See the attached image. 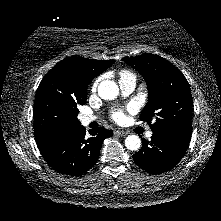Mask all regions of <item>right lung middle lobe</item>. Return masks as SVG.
Segmentation results:
<instances>
[{
	"label": "right lung middle lobe",
	"mask_w": 221,
	"mask_h": 221,
	"mask_svg": "<svg viewBox=\"0 0 221 221\" xmlns=\"http://www.w3.org/2000/svg\"><path fill=\"white\" fill-rule=\"evenodd\" d=\"M86 103V96L73 98L53 91L35 97L34 132L42 137H52L79 125L78 106Z\"/></svg>",
	"instance_id": "1"
}]
</instances>
